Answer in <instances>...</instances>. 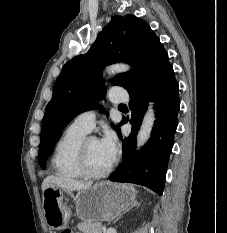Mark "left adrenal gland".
I'll list each match as a JSON object with an SVG mask.
<instances>
[{"label":"left adrenal gland","mask_w":227,"mask_h":233,"mask_svg":"<svg viewBox=\"0 0 227 233\" xmlns=\"http://www.w3.org/2000/svg\"><path fill=\"white\" fill-rule=\"evenodd\" d=\"M134 205H135V206H138L139 204H138V203H135ZM116 221H117V219H116L114 222H116Z\"/></svg>","instance_id":"1"}]
</instances>
